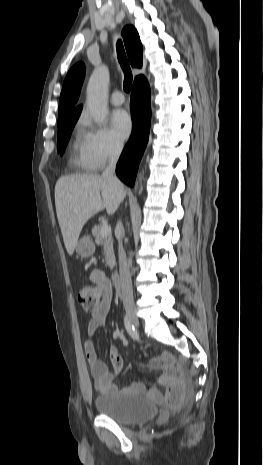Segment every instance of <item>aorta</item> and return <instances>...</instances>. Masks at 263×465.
<instances>
[{"instance_id":"762f6f07","label":"aorta","mask_w":263,"mask_h":465,"mask_svg":"<svg viewBox=\"0 0 263 465\" xmlns=\"http://www.w3.org/2000/svg\"><path fill=\"white\" fill-rule=\"evenodd\" d=\"M108 84L109 70L103 65L94 70L87 85L86 104L97 123H103L108 114Z\"/></svg>"}]
</instances>
